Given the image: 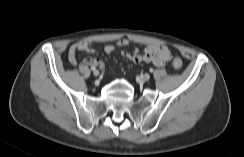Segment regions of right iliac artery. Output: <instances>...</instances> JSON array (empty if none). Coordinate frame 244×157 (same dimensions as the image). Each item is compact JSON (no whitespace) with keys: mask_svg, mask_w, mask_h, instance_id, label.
I'll return each mask as SVG.
<instances>
[{"mask_svg":"<svg viewBox=\"0 0 244 157\" xmlns=\"http://www.w3.org/2000/svg\"><path fill=\"white\" fill-rule=\"evenodd\" d=\"M91 70H92V71H95V70H96V67H91Z\"/></svg>","mask_w":244,"mask_h":157,"instance_id":"1","label":"right iliac artery"}]
</instances>
